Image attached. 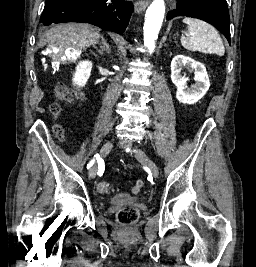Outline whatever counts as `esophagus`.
<instances>
[{
    "mask_svg": "<svg viewBox=\"0 0 256 267\" xmlns=\"http://www.w3.org/2000/svg\"><path fill=\"white\" fill-rule=\"evenodd\" d=\"M150 0H137L134 5L136 13H141L145 8L148 7Z\"/></svg>",
    "mask_w": 256,
    "mask_h": 267,
    "instance_id": "1",
    "label": "esophagus"
}]
</instances>
